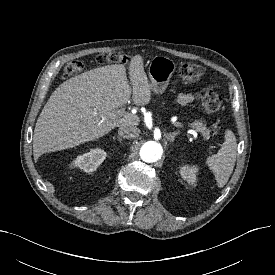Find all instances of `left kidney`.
Returning a JSON list of instances; mask_svg holds the SVG:
<instances>
[{
  "label": "left kidney",
  "mask_w": 275,
  "mask_h": 275,
  "mask_svg": "<svg viewBox=\"0 0 275 275\" xmlns=\"http://www.w3.org/2000/svg\"><path fill=\"white\" fill-rule=\"evenodd\" d=\"M198 172V167L193 165H182L180 167L181 177L187 181V183L193 185L196 183V173Z\"/></svg>",
  "instance_id": "left-kidney-1"
}]
</instances>
